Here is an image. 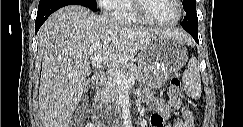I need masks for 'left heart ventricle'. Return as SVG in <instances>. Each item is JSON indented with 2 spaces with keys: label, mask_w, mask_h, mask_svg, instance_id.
<instances>
[{
  "label": "left heart ventricle",
  "mask_w": 243,
  "mask_h": 127,
  "mask_svg": "<svg viewBox=\"0 0 243 127\" xmlns=\"http://www.w3.org/2000/svg\"><path fill=\"white\" fill-rule=\"evenodd\" d=\"M144 7L153 19L161 22H172L178 16L174 0H145Z\"/></svg>",
  "instance_id": "left-heart-ventricle-1"
}]
</instances>
